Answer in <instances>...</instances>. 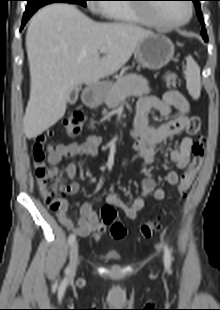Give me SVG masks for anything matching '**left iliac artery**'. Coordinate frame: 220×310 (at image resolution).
<instances>
[{
  "mask_svg": "<svg viewBox=\"0 0 220 310\" xmlns=\"http://www.w3.org/2000/svg\"><path fill=\"white\" fill-rule=\"evenodd\" d=\"M171 259H172L171 251L168 248V246L165 245L164 246V264L167 269H169L171 266Z\"/></svg>",
  "mask_w": 220,
  "mask_h": 310,
  "instance_id": "1",
  "label": "left iliac artery"
}]
</instances>
